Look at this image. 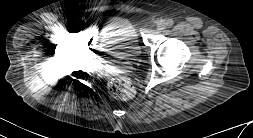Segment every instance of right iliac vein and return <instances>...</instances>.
I'll return each instance as SVG.
<instances>
[{
  "instance_id": "63e3f726",
  "label": "right iliac vein",
  "mask_w": 253,
  "mask_h": 138,
  "mask_svg": "<svg viewBox=\"0 0 253 138\" xmlns=\"http://www.w3.org/2000/svg\"><path fill=\"white\" fill-rule=\"evenodd\" d=\"M71 28H72L73 30H76V29L78 28V25H77L76 23H73V24L71 25Z\"/></svg>"
}]
</instances>
